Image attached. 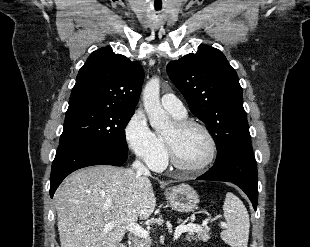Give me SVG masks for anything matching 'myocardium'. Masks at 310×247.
Here are the masks:
<instances>
[{
  "instance_id": "f54148a6",
  "label": "myocardium",
  "mask_w": 310,
  "mask_h": 247,
  "mask_svg": "<svg viewBox=\"0 0 310 247\" xmlns=\"http://www.w3.org/2000/svg\"><path fill=\"white\" fill-rule=\"evenodd\" d=\"M173 125L179 132L186 131L192 128L200 129L208 138L210 144V154L207 160L198 166L191 167L184 165L177 158L172 142L168 140L166 137H164V143L171 164L177 169L185 171L190 174H199L205 171L208 167H210L213 164L217 156V143L211 131L204 124L194 120H184V119L177 120L174 122Z\"/></svg>"
}]
</instances>
